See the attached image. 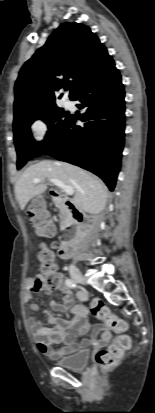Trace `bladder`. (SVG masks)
Returning a JSON list of instances; mask_svg holds the SVG:
<instances>
[{"instance_id":"1","label":"bladder","mask_w":155,"mask_h":413,"mask_svg":"<svg viewBox=\"0 0 155 413\" xmlns=\"http://www.w3.org/2000/svg\"><path fill=\"white\" fill-rule=\"evenodd\" d=\"M90 351L82 350L71 356H66L58 359L56 364L64 369L79 371L84 369L89 361Z\"/></svg>"}]
</instances>
